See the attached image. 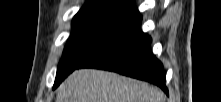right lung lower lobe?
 <instances>
[{"label": "right lung lower lobe", "mask_w": 221, "mask_h": 102, "mask_svg": "<svg viewBox=\"0 0 221 102\" xmlns=\"http://www.w3.org/2000/svg\"><path fill=\"white\" fill-rule=\"evenodd\" d=\"M141 17L88 57L79 68H98L150 82L168 94L163 64L151 51L152 39L140 29ZM54 84L53 89L63 81Z\"/></svg>", "instance_id": "98d812e1"}]
</instances>
